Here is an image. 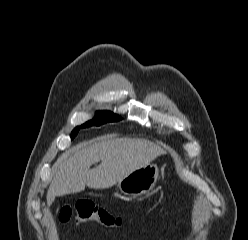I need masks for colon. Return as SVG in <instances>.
I'll list each match as a JSON object with an SVG mask.
<instances>
[{"label": "colon", "instance_id": "obj_1", "mask_svg": "<svg viewBox=\"0 0 248 240\" xmlns=\"http://www.w3.org/2000/svg\"><path fill=\"white\" fill-rule=\"evenodd\" d=\"M59 219L63 223L94 222L108 229H117L123 223L120 216L96 206L89 200H81L73 206L63 207L59 213Z\"/></svg>", "mask_w": 248, "mask_h": 240}]
</instances>
